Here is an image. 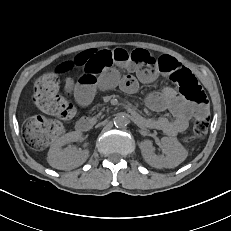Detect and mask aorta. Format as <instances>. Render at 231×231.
Here are the masks:
<instances>
[{
  "label": "aorta",
  "mask_w": 231,
  "mask_h": 231,
  "mask_svg": "<svg viewBox=\"0 0 231 231\" xmlns=\"http://www.w3.org/2000/svg\"><path fill=\"white\" fill-rule=\"evenodd\" d=\"M128 124V119L124 115H118L114 118V125L117 128H124Z\"/></svg>",
  "instance_id": "762f6f07"
}]
</instances>
